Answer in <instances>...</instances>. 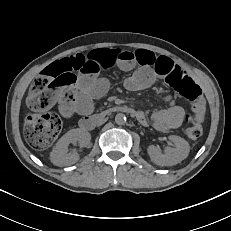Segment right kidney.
Masks as SVG:
<instances>
[{
	"mask_svg": "<svg viewBox=\"0 0 231 231\" xmlns=\"http://www.w3.org/2000/svg\"><path fill=\"white\" fill-rule=\"evenodd\" d=\"M91 135L89 132L81 129H72L64 134L56 143L50 154V160L54 165L67 166L76 163L79 160V153H68L70 143L78 142L81 147L90 145Z\"/></svg>",
	"mask_w": 231,
	"mask_h": 231,
	"instance_id": "1",
	"label": "right kidney"
}]
</instances>
